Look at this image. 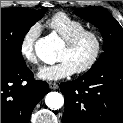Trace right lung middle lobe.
I'll list each match as a JSON object with an SVG mask.
<instances>
[{"label": "right lung middle lobe", "instance_id": "1", "mask_svg": "<svg viewBox=\"0 0 123 123\" xmlns=\"http://www.w3.org/2000/svg\"><path fill=\"white\" fill-rule=\"evenodd\" d=\"M46 8L40 10L24 8L1 9V61L15 65L24 64L21 53L23 39Z\"/></svg>", "mask_w": 123, "mask_h": 123}]
</instances>
